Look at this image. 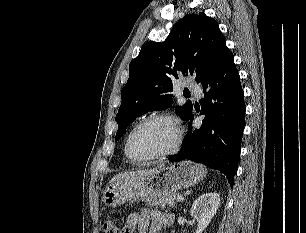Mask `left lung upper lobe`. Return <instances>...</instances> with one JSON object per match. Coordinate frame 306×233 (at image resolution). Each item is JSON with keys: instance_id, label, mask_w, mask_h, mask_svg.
<instances>
[{"instance_id": "obj_1", "label": "left lung upper lobe", "mask_w": 306, "mask_h": 233, "mask_svg": "<svg viewBox=\"0 0 306 233\" xmlns=\"http://www.w3.org/2000/svg\"><path fill=\"white\" fill-rule=\"evenodd\" d=\"M227 51L218 23L204 13L188 14L179 20L164 42L145 43L129 65V79L121 91L122 103L115 118V139L119 140L135 118L171 106L175 79L193 75L202 83ZM192 109L187 101L176 108V113L188 121Z\"/></svg>"}]
</instances>
